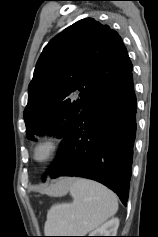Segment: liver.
Listing matches in <instances>:
<instances>
[{
  "label": "liver",
  "mask_w": 158,
  "mask_h": 237,
  "mask_svg": "<svg viewBox=\"0 0 158 237\" xmlns=\"http://www.w3.org/2000/svg\"><path fill=\"white\" fill-rule=\"evenodd\" d=\"M74 179H65V180H61L59 181L57 184L49 187V188H46V189H43L41 190L42 193H46V194H50V195H53V194H56L57 190L59 188H61L63 185L65 184H71L73 182Z\"/></svg>",
  "instance_id": "1"
}]
</instances>
